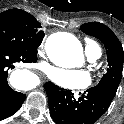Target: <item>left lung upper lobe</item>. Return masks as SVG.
I'll return each instance as SVG.
<instances>
[{"label": "left lung upper lobe", "instance_id": "1", "mask_svg": "<svg viewBox=\"0 0 124 124\" xmlns=\"http://www.w3.org/2000/svg\"><path fill=\"white\" fill-rule=\"evenodd\" d=\"M80 30L98 38L104 44L109 67L97 86L108 88L115 95L122 78L124 61V52L120 41L110 28L99 22L85 23L81 25Z\"/></svg>", "mask_w": 124, "mask_h": 124}]
</instances>
